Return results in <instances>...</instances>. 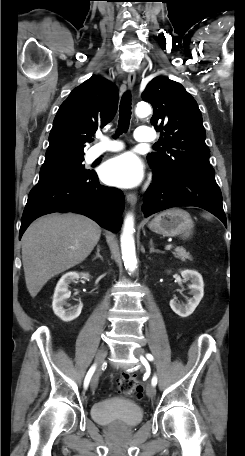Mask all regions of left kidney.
<instances>
[{
  "instance_id": "5707ae66",
  "label": "left kidney",
  "mask_w": 245,
  "mask_h": 456,
  "mask_svg": "<svg viewBox=\"0 0 245 456\" xmlns=\"http://www.w3.org/2000/svg\"><path fill=\"white\" fill-rule=\"evenodd\" d=\"M181 276L184 281H190L189 289L191 290L192 298H190L187 304L181 305L174 299L170 301L171 309L181 317H188L191 315L204 295V283L202 276L193 270L181 271Z\"/></svg>"
}]
</instances>
